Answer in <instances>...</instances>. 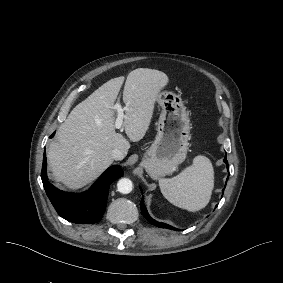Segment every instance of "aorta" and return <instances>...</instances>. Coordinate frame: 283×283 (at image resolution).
<instances>
[{"label":"aorta","mask_w":283,"mask_h":283,"mask_svg":"<svg viewBox=\"0 0 283 283\" xmlns=\"http://www.w3.org/2000/svg\"><path fill=\"white\" fill-rule=\"evenodd\" d=\"M118 191L122 194H128L132 191L133 184L128 178H122L117 183Z\"/></svg>","instance_id":"1"}]
</instances>
